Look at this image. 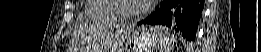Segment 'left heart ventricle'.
Segmentation results:
<instances>
[{
	"label": "left heart ventricle",
	"mask_w": 261,
	"mask_h": 52,
	"mask_svg": "<svg viewBox=\"0 0 261 52\" xmlns=\"http://www.w3.org/2000/svg\"><path fill=\"white\" fill-rule=\"evenodd\" d=\"M139 1H122L119 5V10L125 15H132L137 12Z\"/></svg>",
	"instance_id": "1"
}]
</instances>
